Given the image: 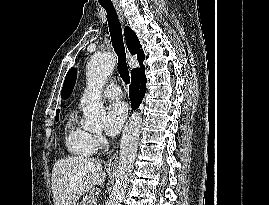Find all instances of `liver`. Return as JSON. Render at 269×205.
Here are the masks:
<instances>
[{"label":"liver","mask_w":269,"mask_h":205,"mask_svg":"<svg viewBox=\"0 0 269 205\" xmlns=\"http://www.w3.org/2000/svg\"><path fill=\"white\" fill-rule=\"evenodd\" d=\"M105 179L100 160L83 156L58 159L51 177L54 205H76L83 194L103 185Z\"/></svg>","instance_id":"liver-1"}]
</instances>
